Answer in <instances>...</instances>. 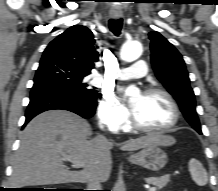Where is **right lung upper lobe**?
Segmentation results:
<instances>
[{
    "label": "right lung upper lobe",
    "mask_w": 218,
    "mask_h": 191,
    "mask_svg": "<svg viewBox=\"0 0 218 191\" xmlns=\"http://www.w3.org/2000/svg\"><path fill=\"white\" fill-rule=\"evenodd\" d=\"M92 31L82 25H74L50 42L42 58H54L72 68L90 74L98 61V46Z\"/></svg>",
    "instance_id": "obj_1"
}]
</instances>
